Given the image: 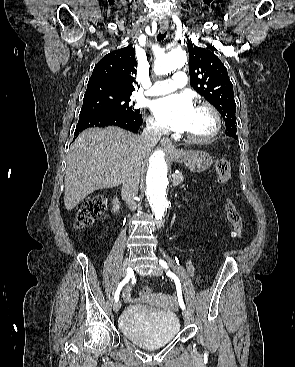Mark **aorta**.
<instances>
[{
    "instance_id": "obj_1",
    "label": "aorta",
    "mask_w": 295,
    "mask_h": 367,
    "mask_svg": "<svg viewBox=\"0 0 295 367\" xmlns=\"http://www.w3.org/2000/svg\"><path fill=\"white\" fill-rule=\"evenodd\" d=\"M187 56L182 49L162 54L155 63V72L167 74L182 68ZM168 163L163 150H156L150 157L146 171V195L156 219H162L168 208Z\"/></svg>"
}]
</instances>
